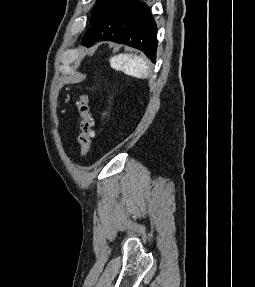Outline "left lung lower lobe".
Instances as JSON below:
<instances>
[{
  "label": "left lung lower lobe",
  "mask_w": 255,
  "mask_h": 287,
  "mask_svg": "<svg viewBox=\"0 0 255 287\" xmlns=\"http://www.w3.org/2000/svg\"><path fill=\"white\" fill-rule=\"evenodd\" d=\"M82 43L111 40L145 52L154 62L157 48V28L149 8L137 0H115L94 22Z\"/></svg>",
  "instance_id": "left-lung-lower-lobe-1"
}]
</instances>
